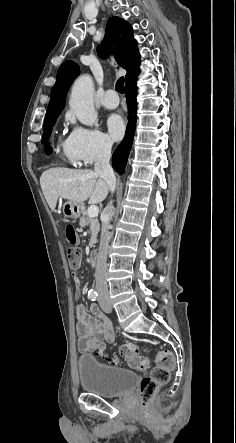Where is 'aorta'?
I'll return each instance as SVG.
<instances>
[{"instance_id":"762f6f07","label":"aorta","mask_w":236,"mask_h":443,"mask_svg":"<svg viewBox=\"0 0 236 443\" xmlns=\"http://www.w3.org/2000/svg\"><path fill=\"white\" fill-rule=\"evenodd\" d=\"M94 86L90 75L80 76L74 83L69 105L77 119L86 126H93L97 112L93 103Z\"/></svg>"}]
</instances>
